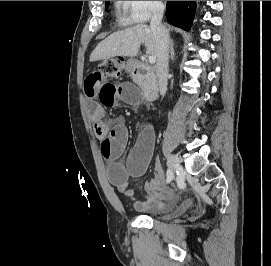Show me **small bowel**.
<instances>
[{
	"mask_svg": "<svg viewBox=\"0 0 271 266\" xmlns=\"http://www.w3.org/2000/svg\"><path fill=\"white\" fill-rule=\"evenodd\" d=\"M86 96L90 99L88 114L93 124L94 134L101 143L102 155L108 160L109 180L127 199L135 197L129 180L141 177L150 162L155 135L151 126L146 127L138 136L128 158L120 159L129 132L123 117L111 122L104 119V107H116L121 103L137 106L141 102L139 92L130 82L113 83L101 70L89 73L84 81ZM144 200L136 201L134 207L139 211H162L177 202L176 192L164 184V174L159 166L154 177L144 185Z\"/></svg>",
	"mask_w": 271,
	"mask_h": 266,
	"instance_id": "c3829d8e",
	"label": "small bowel"
}]
</instances>
